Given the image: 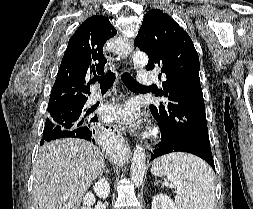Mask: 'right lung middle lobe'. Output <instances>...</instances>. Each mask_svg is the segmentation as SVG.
<instances>
[{"instance_id": "dd1d6c3e", "label": "right lung middle lobe", "mask_w": 253, "mask_h": 209, "mask_svg": "<svg viewBox=\"0 0 253 209\" xmlns=\"http://www.w3.org/2000/svg\"><path fill=\"white\" fill-rule=\"evenodd\" d=\"M84 105L85 103L48 110L44 134L87 126L92 117L89 116V111H86ZM41 142L44 144L45 141L41 140Z\"/></svg>"}]
</instances>
